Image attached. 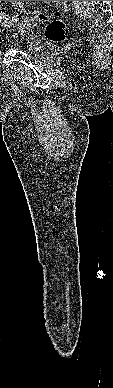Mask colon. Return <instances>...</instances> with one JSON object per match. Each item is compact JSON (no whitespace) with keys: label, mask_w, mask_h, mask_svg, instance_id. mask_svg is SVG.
<instances>
[{"label":"colon","mask_w":113,"mask_h":388,"mask_svg":"<svg viewBox=\"0 0 113 388\" xmlns=\"http://www.w3.org/2000/svg\"><path fill=\"white\" fill-rule=\"evenodd\" d=\"M35 19L41 22H46L45 35L46 37L54 42H62L66 37V24L60 18L59 14L52 17H48L45 14H34ZM19 21L18 17L11 16L4 12L0 4V25L4 27H14Z\"/></svg>","instance_id":"5ec220e1"}]
</instances>
